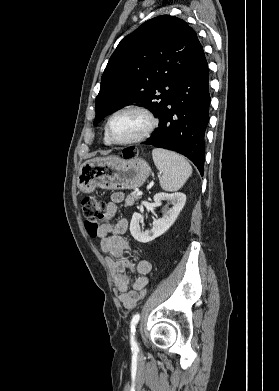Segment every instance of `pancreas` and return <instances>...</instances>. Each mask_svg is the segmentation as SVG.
Masks as SVG:
<instances>
[{"label":"pancreas","mask_w":279,"mask_h":391,"mask_svg":"<svg viewBox=\"0 0 279 391\" xmlns=\"http://www.w3.org/2000/svg\"><path fill=\"white\" fill-rule=\"evenodd\" d=\"M140 198H141L140 195H137L136 192H133L127 196L125 200V205L132 206L135 203V201L139 200Z\"/></svg>","instance_id":"cf45deb5"}]
</instances>
